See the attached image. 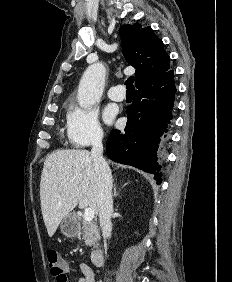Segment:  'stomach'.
I'll list each match as a JSON object with an SVG mask.
<instances>
[{"instance_id":"1","label":"stomach","mask_w":232,"mask_h":282,"mask_svg":"<svg viewBox=\"0 0 232 282\" xmlns=\"http://www.w3.org/2000/svg\"><path fill=\"white\" fill-rule=\"evenodd\" d=\"M61 233L68 237H76L80 232V225L74 214L66 215L60 223Z\"/></svg>"}]
</instances>
